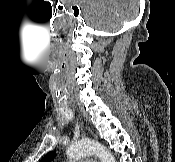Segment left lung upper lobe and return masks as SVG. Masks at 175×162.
I'll list each match as a JSON object with an SVG mask.
<instances>
[{"label": "left lung upper lobe", "instance_id": "obj_1", "mask_svg": "<svg viewBox=\"0 0 175 162\" xmlns=\"http://www.w3.org/2000/svg\"><path fill=\"white\" fill-rule=\"evenodd\" d=\"M55 154H56L55 151L48 153L46 156H44L40 160V162H51V160L54 158Z\"/></svg>", "mask_w": 175, "mask_h": 162}]
</instances>
